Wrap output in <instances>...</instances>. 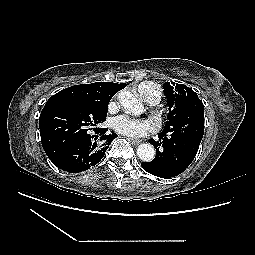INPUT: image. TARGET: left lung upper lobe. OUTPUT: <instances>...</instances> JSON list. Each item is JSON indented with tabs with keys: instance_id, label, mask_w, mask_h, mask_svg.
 Returning a JSON list of instances; mask_svg holds the SVG:
<instances>
[{
	"instance_id": "5c2ea615",
	"label": "left lung upper lobe",
	"mask_w": 255,
	"mask_h": 255,
	"mask_svg": "<svg viewBox=\"0 0 255 255\" xmlns=\"http://www.w3.org/2000/svg\"><path fill=\"white\" fill-rule=\"evenodd\" d=\"M163 87L170 107L165 127L182 123H184L183 125H188L195 118L199 110L204 109L202 101L191 88L183 84H175L174 82H166Z\"/></svg>"
}]
</instances>
